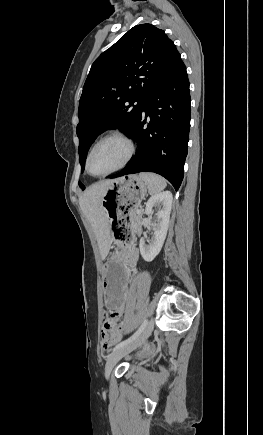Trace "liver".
Here are the masks:
<instances>
[{
    "mask_svg": "<svg viewBox=\"0 0 263 435\" xmlns=\"http://www.w3.org/2000/svg\"><path fill=\"white\" fill-rule=\"evenodd\" d=\"M113 181V179L103 180L90 186L79 199L80 207L97 238L102 260L107 257L111 246L110 224L104 213L102 197Z\"/></svg>",
    "mask_w": 263,
    "mask_h": 435,
    "instance_id": "6515ba94",
    "label": "liver"
}]
</instances>
